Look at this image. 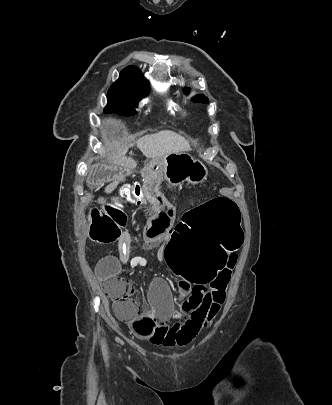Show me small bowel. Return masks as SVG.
Listing matches in <instances>:
<instances>
[{"mask_svg":"<svg viewBox=\"0 0 332 405\" xmlns=\"http://www.w3.org/2000/svg\"><path fill=\"white\" fill-rule=\"evenodd\" d=\"M93 172L85 178L86 186H108V191L115 189L118 181L112 177H128V168H112L110 162H99ZM160 159H149L141 171V181L145 184L143 197L146 203L153 205L150 219L144 228V247L146 250L161 248L170 240L171 225L175 216V208L170 203L169 195H164L160 184L163 182ZM117 204L127 205L129 199L119 198ZM99 206H110V197H99ZM187 220V218L185 219ZM132 240L128 232L118 239L119 256L107 255L101 258L95 266L96 276L104 280L120 270L121 258ZM237 255L227 257L234 258ZM146 261L138 260L135 265L143 266ZM210 284L208 287H191V281H181L178 294L173 299L168 283L161 277H154L149 285L147 311H140L139 316L125 319L129 322L133 334L141 340L150 341L154 345L165 347L184 346L190 343L204 326V310L209 301ZM174 300L179 310L175 309ZM121 318V317H120ZM178 319L170 324L171 319ZM124 319V318H122Z\"/></svg>","mask_w":332,"mask_h":405,"instance_id":"1","label":"small bowel"}]
</instances>
